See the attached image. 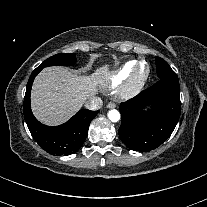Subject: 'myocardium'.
Segmentation results:
<instances>
[{"mask_svg":"<svg viewBox=\"0 0 207 207\" xmlns=\"http://www.w3.org/2000/svg\"><path fill=\"white\" fill-rule=\"evenodd\" d=\"M144 66L145 70L143 74L138 73V68ZM150 76V66L145 61H137L134 63L130 77L127 81V84L122 92L123 97H132L136 95L146 84Z\"/></svg>","mask_w":207,"mask_h":207,"instance_id":"1","label":"myocardium"}]
</instances>
